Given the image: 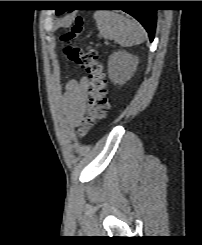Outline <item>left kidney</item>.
Masks as SVG:
<instances>
[{
  "instance_id": "obj_1",
  "label": "left kidney",
  "mask_w": 202,
  "mask_h": 245,
  "mask_svg": "<svg viewBox=\"0 0 202 245\" xmlns=\"http://www.w3.org/2000/svg\"><path fill=\"white\" fill-rule=\"evenodd\" d=\"M138 58L126 51L114 52L108 60V76L114 84L123 85L133 76Z\"/></svg>"
}]
</instances>
